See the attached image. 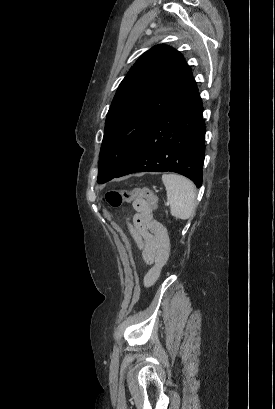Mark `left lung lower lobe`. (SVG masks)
<instances>
[{"label": "left lung lower lobe", "instance_id": "0a47b994", "mask_svg": "<svg viewBox=\"0 0 275 409\" xmlns=\"http://www.w3.org/2000/svg\"><path fill=\"white\" fill-rule=\"evenodd\" d=\"M202 111L196 88L152 125L115 177L142 171H171L200 187L206 132Z\"/></svg>", "mask_w": 275, "mask_h": 409}]
</instances>
